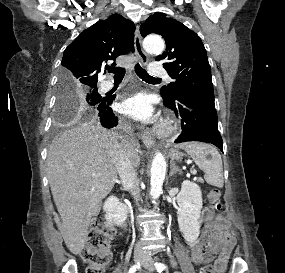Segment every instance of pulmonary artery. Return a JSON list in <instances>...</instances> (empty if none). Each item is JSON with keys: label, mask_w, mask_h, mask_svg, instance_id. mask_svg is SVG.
Here are the masks:
<instances>
[{"label": "pulmonary artery", "mask_w": 285, "mask_h": 273, "mask_svg": "<svg viewBox=\"0 0 285 273\" xmlns=\"http://www.w3.org/2000/svg\"><path fill=\"white\" fill-rule=\"evenodd\" d=\"M150 75L153 77H158V78H165L167 81H171L170 76L168 75L166 69L159 65L157 62H153L149 65L148 67ZM113 83L111 81H104L100 84V89L102 91H108L113 88Z\"/></svg>", "instance_id": "1"}]
</instances>
